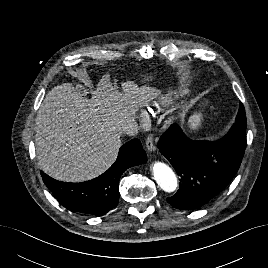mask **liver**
<instances>
[{"mask_svg":"<svg viewBox=\"0 0 268 268\" xmlns=\"http://www.w3.org/2000/svg\"><path fill=\"white\" fill-rule=\"evenodd\" d=\"M80 87V86H79ZM71 83L55 86L36 116L38 165L50 177L82 182L104 173L116 160L123 127L134 124L136 112L156 96L151 87L122 82V92L103 77L91 99Z\"/></svg>","mask_w":268,"mask_h":268,"instance_id":"6515ba94","label":"liver"}]
</instances>
